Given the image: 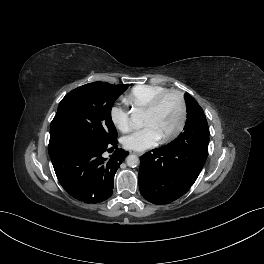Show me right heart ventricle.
<instances>
[{
    "mask_svg": "<svg viewBox=\"0 0 264 264\" xmlns=\"http://www.w3.org/2000/svg\"><path fill=\"white\" fill-rule=\"evenodd\" d=\"M165 90L167 88L161 85H137L125 96V102L134 108L145 109L158 94Z\"/></svg>",
    "mask_w": 264,
    "mask_h": 264,
    "instance_id": "right-heart-ventricle-1",
    "label": "right heart ventricle"
}]
</instances>
